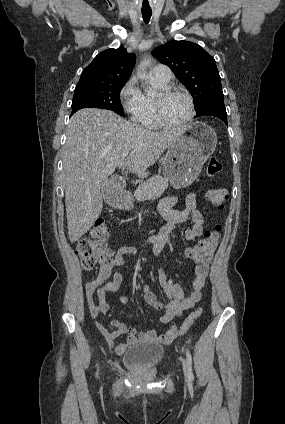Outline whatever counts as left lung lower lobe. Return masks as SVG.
<instances>
[{
  "mask_svg": "<svg viewBox=\"0 0 285 424\" xmlns=\"http://www.w3.org/2000/svg\"><path fill=\"white\" fill-rule=\"evenodd\" d=\"M196 113L197 115L195 117L206 115L218 117L227 125V113L224 100L211 101Z\"/></svg>",
  "mask_w": 285,
  "mask_h": 424,
  "instance_id": "left-lung-lower-lobe-1",
  "label": "left lung lower lobe"
}]
</instances>
